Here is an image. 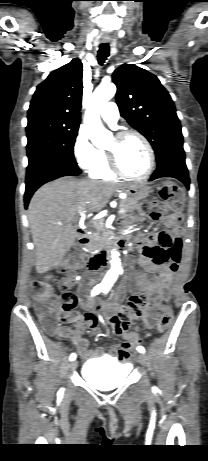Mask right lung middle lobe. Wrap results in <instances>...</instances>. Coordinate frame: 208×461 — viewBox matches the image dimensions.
Listing matches in <instances>:
<instances>
[{"label":"right lung middle lobe","mask_w":208,"mask_h":461,"mask_svg":"<svg viewBox=\"0 0 208 461\" xmlns=\"http://www.w3.org/2000/svg\"><path fill=\"white\" fill-rule=\"evenodd\" d=\"M79 123L64 119L28 118V166L47 157L63 158L76 164L73 147Z\"/></svg>","instance_id":"dd1d6c3e"}]
</instances>
